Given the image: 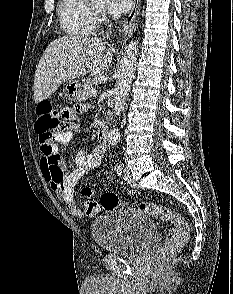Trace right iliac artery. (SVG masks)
Wrapping results in <instances>:
<instances>
[{"label":"right iliac artery","mask_w":233,"mask_h":294,"mask_svg":"<svg viewBox=\"0 0 233 294\" xmlns=\"http://www.w3.org/2000/svg\"><path fill=\"white\" fill-rule=\"evenodd\" d=\"M115 171H116V174H117V175H121L122 172H123V165H122V164H117V165L115 166Z\"/></svg>","instance_id":"obj_1"}]
</instances>
